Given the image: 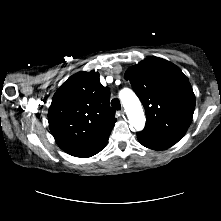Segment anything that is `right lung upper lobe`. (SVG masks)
I'll return each mask as SVG.
<instances>
[{
    "label": "right lung upper lobe",
    "mask_w": 221,
    "mask_h": 221,
    "mask_svg": "<svg viewBox=\"0 0 221 221\" xmlns=\"http://www.w3.org/2000/svg\"><path fill=\"white\" fill-rule=\"evenodd\" d=\"M110 90L99 73L79 72L54 94L48 113L49 127L61 149L75 157H91L106 145L116 122Z\"/></svg>",
    "instance_id": "1"
}]
</instances>
